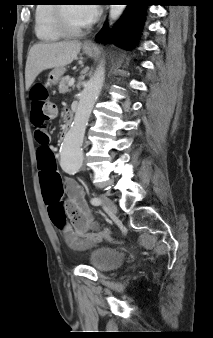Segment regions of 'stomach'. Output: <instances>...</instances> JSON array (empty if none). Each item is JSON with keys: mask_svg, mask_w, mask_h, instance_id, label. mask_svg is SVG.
Returning <instances> with one entry per match:
<instances>
[{"mask_svg": "<svg viewBox=\"0 0 213 338\" xmlns=\"http://www.w3.org/2000/svg\"><path fill=\"white\" fill-rule=\"evenodd\" d=\"M83 53H85L88 56H93L95 54V49L94 48H87V47H83ZM65 73V68L64 67H58L53 69L49 75H48V84L49 85H56L62 75Z\"/></svg>", "mask_w": 213, "mask_h": 338, "instance_id": "stomach-1", "label": "stomach"}]
</instances>
